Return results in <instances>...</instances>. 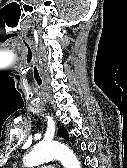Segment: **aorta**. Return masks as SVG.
<instances>
[{
	"instance_id": "1",
	"label": "aorta",
	"mask_w": 127,
	"mask_h": 168,
	"mask_svg": "<svg viewBox=\"0 0 127 168\" xmlns=\"http://www.w3.org/2000/svg\"><path fill=\"white\" fill-rule=\"evenodd\" d=\"M54 159L59 160L65 168H81L73 151L58 142L39 143L26 155L25 165L33 167Z\"/></svg>"
}]
</instances>
